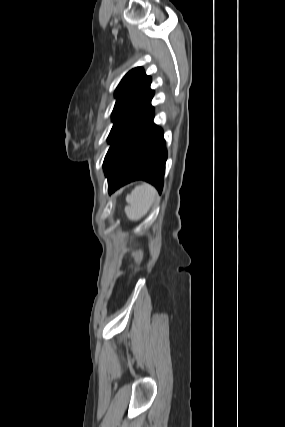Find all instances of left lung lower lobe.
<instances>
[{"label":"left lung lower lobe","instance_id":"1","mask_svg":"<svg viewBox=\"0 0 285 427\" xmlns=\"http://www.w3.org/2000/svg\"><path fill=\"white\" fill-rule=\"evenodd\" d=\"M153 116L150 106L108 151L103 167L109 193L138 179L162 191L167 151L163 132L153 123Z\"/></svg>","mask_w":285,"mask_h":427}]
</instances>
